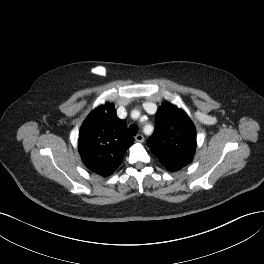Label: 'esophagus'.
<instances>
[{
	"label": "esophagus",
	"instance_id": "1",
	"mask_svg": "<svg viewBox=\"0 0 264 264\" xmlns=\"http://www.w3.org/2000/svg\"><path fill=\"white\" fill-rule=\"evenodd\" d=\"M135 140H136L137 142H139V143H142V142H144V136H143L142 134H137V135L135 136Z\"/></svg>",
	"mask_w": 264,
	"mask_h": 264
}]
</instances>
